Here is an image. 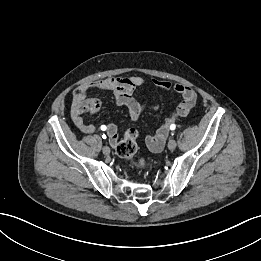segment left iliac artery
Segmentation results:
<instances>
[{
    "label": "left iliac artery",
    "instance_id": "1",
    "mask_svg": "<svg viewBox=\"0 0 261 261\" xmlns=\"http://www.w3.org/2000/svg\"><path fill=\"white\" fill-rule=\"evenodd\" d=\"M175 128H176L175 124H172V125L170 126V129H171V130H175Z\"/></svg>",
    "mask_w": 261,
    "mask_h": 261
}]
</instances>
